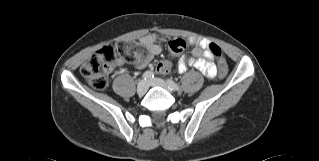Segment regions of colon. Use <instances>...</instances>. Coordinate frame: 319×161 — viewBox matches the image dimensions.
Segmentation results:
<instances>
[{
    "label": "colon",
    "mask_w": 319,
    "mask_h": 161,
    "mask_svg": "<svg viewBox=\"0 0 319 161\" xmlns=\"http://www.w3.org/2000/svg\"><path fill=\"white\" fill-rule=\"evenodd\" d=\"M187 47L185 41L180 40L169 43V49L174 53H181ZM211 53L216 57L219 64L218 76L223 79L227 75L226 64L221 49L216 44L209 46ZM146 59V53L143 47L135 45L131 41H118L103 47L81 67V75L90 86L95 89L102 90L108 85V73L115 66L117 57L122 58L126 62H134L138 57ZM160 68L166 69L168 64L161 62Z\"/></svg>",
    "instance_id": "1"
}]
</instances>
